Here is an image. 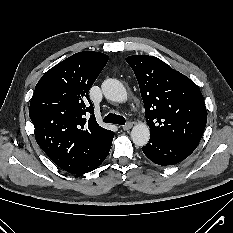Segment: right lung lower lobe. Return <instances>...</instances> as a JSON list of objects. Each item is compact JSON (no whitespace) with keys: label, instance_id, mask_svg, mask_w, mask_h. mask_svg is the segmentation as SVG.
Wrapping results in <instances>:
<instances>
[{"label":"right lung lower lobe","instance_id":"98d812e1","mask_svg":"<svg viewBox=\"0 0 233 233\" xmlns=\"http://www.w3.org/2000/svg\"><path fill=\"white\" fill-rule=\"evenodd\" d=\"M111 144H108L99 154H97L95 157H93L92 159L88 160L87 162L74 167L70 170H68L67 172L72 173V174H84V173H88L90 171H93L94 169H96L107 157L110 148H111Z\"/></svg>","mask_w":233,"mask_h":233}]
</instances>
